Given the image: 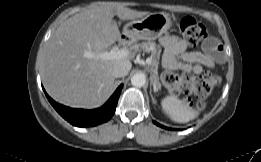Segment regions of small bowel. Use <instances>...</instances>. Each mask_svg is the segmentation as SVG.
I'll list each match as a JSON object with an SVG mask.
<instances>
[{
  "label": "small bowel",
  "mask_w": 261,
  "mask_h": 162,
  "mask_svg": "<svg viewBox=\"0 0 261 162\" xmlns=\"http://www.w3.org/2000/svg\"><path fill=\"white\" fill-rule=\"evenodd\" d=\"M160 44L165 48L162 63L166 69L192 71L200 74L203 68H212L225 60L223 46L214 38L206 39L202 51H186L185 42L177 36H163Z\"/></svg>",
  "instance_id": "1"
}]
</instances>
